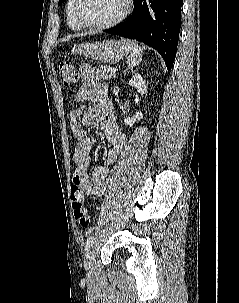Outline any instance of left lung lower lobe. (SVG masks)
Here are the masks:
<instances>
[{
    "mask_svg": "<svg viewBox=\"0 0 239 303\" xmlns=\"http://www.w3.org/2000/svg\"><path fill=\"white\" fill-rule=\"evenodd\" d=\"M132 15L104 32L136 39L156 49L171 70L181 28L183 0H134Z\"/></svg>",
    "mask_w": 239,
    "mask_h": 303,
    "instance_id": "left-lung-lower-lobe-1",
    "label": "left lung lower lobe"
}]
</instances>
